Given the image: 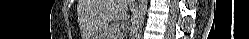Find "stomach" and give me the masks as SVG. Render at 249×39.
<instances>
[{
    "label": "stomach",
    "instance_id": "0dacf381",
    "mask_svg": "<svg viewBox=\"0 0 249 39\" xmlns=\"http://www.w3.org/2000/svg\"><path fill=\"white\" fill-rule=\"evenodd\" d=\"M101 32V31H100ZM100 32H96L95 34H94V37H102L103 35L102 34H100Z\"/></svg>",
    "mask_w": 249,
    "mask_h": 39
}]
</instances>
